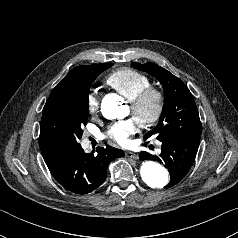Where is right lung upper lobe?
Here are the masks:
<instances>
[{"instance_id": "1", "label": "right lung upper lobe", "mask_w": 238, "mask_h": 238, "mask_svg": "<svg viewBox=\"0 0 238 238\" xmlns=\"http://www.w3.org/2000/svg\"><path fill=\"white\" fill-rule=\"evenodd\" d=\"M90 66V65H89ZM88 66H79L71 70L66 77H64L57 86L53 89L50 96H54L61 91H63L67 86L70 85V83L76 78L78 74H80L84 69H86ZM39 146L44 158L45 163H50L51 161L61 157L67 151L63 150L56 144L45 140L44 138L39 137Z\"/></svg>"}]
</instances>
